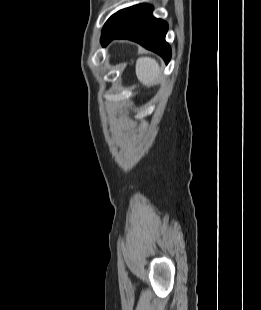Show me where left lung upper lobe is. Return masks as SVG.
Instances as JSON below:
<instances>
[{
	"instance_id": "left-lung-upper-lobe-1",
	"label": "left lung upper lobe",
	"mask_w": 261,
	"mask_h": 310,
	"mask_svg": "<svg viewBox=\"0 0 261 310\" xmlns=\"http://www.w3.org/2000/svg\"><path fill=\"white\" fill-rule=\"evenodd\" d=\"M113 16H114V15H113ZM113 16H111V17L109 18V20H108L106 23H108V22L112 19Z\"/></svg>"
}]
</instances>
